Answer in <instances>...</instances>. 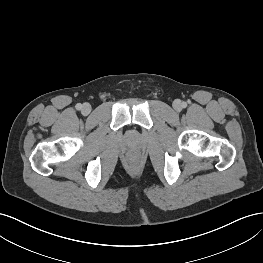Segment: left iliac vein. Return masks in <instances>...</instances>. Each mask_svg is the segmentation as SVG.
Listing matches in <instances>:
<instances>
[{
	"label": "left iliac vein",
	"mask_w": 263,
	"mask_h": 263,
	"mask_svg": "<svg viewBox=\"0 0 263 263\" xmlns=\"http://www.w3.org/2000/svg\"><path fill=\"white\" fill-rule=\"evenodd\" d=\"M173 108L176 110V111H181V109H182V103H181V101L180 100H175L174 102H173Z\"/></svg>",
	"instance_id": "1"
}]
</instances>
